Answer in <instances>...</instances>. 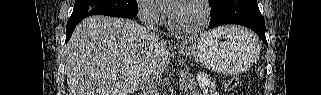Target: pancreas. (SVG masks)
I'll list each match as a JSON object with an SVG mask.
<instances>
[{"mask_svg": "<svg viewBox=\"0 0 321 95\" xmlns=\"http://www.w3.org/2000/svg\"><path fill=\"white\" fill-rule=\"evenodd\" d=\"M180 87L186 91H191L196 88V82L192 74L188 72H182L180 78Z\"/></svg>", "mask_w": 321, "mask_h": 95, "instance_id": "obj_1", "label": "pancreas"}]
</instances>
